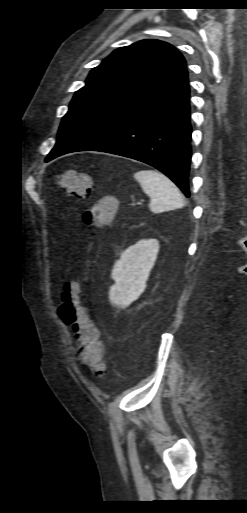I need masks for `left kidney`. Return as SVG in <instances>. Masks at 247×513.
<instances>
[{
	"mask_svg": "<svg viewBox=\"0 0 247 513\" xmlns=\"http://www.w3.org/2000/svg\"><path fill=\"white\" fill-rule=\"evenodd\" d=\"M158 251V240L142 239L121 254L111 273L115 284L110 288L109 299L113 305L126 308L139 298L146 288Z\"/></svg>",
	"mask_w": 247,
	"mask_h": 513,
	"instance_id": "1",
	"label": "left kidney"
}]
</instances>
